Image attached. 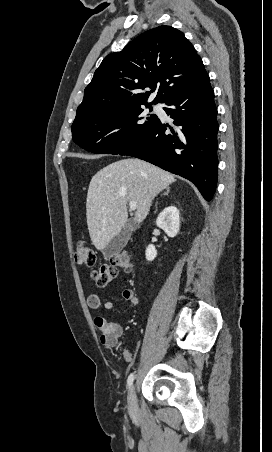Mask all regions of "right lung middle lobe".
I'll list each match as a JSON object with an SVG mask.
<instances>
[{"label":"right lung middle lobe","instance_id":"obj_1","mask_svg":"<svg viewBox=\"0 0 272 452\" xmlns=\"http://www.w3.org/2000/svg\"><path fill=\"white\" fill-rule=\"evenodd\" d=\"M147 108L151 104H145ZM158 120L148 114L142 105L117 110L100 111L75 119L72 139L81 148L97 154H119Z\"/></svg>","mask_w":272,"mask_h":452}]
</instances>
